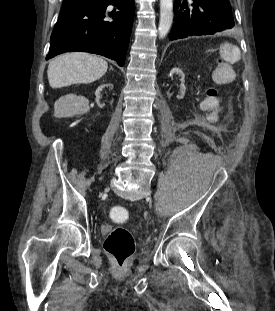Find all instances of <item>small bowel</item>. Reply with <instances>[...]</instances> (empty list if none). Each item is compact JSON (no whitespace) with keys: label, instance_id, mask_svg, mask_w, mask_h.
Wrapping results in <instances>:
<instances>
[{"label":"small bowel","instance_id":"obj_1","mask_svg":"<svg viewBox=\"0 0 275 311\" xmlns=\"http://www.w3.org/2000/svg\"><path fill=\"white\" fill-rule=\"evenodd\" d=\"M218 51L213 73L209 75V80L204 81L202 101L198 103L200 112H203V116H207L208 122H215L216 116L221 115L222 102L220 96H217L218 87H227V84L234 80L232 63L241 62V51L238 46L224 43L223 46H219Z\"/></svg>","mask_w":275,"mask_h":311}]
</instances>
